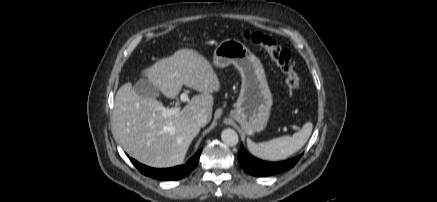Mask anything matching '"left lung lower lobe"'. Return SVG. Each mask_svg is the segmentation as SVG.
<instances>
[{"label": "left lung lower lobe", "mask_w": 437, "mask_h": 202, "mask_svg": "<svg viewBox=\"0 0 437 202\" xmlns=\"http://www.w3.org/2000/svg\"><path fill=\"white\" fill-rule=\"evenodd\" d=\"M302 154L292 159L281 162H266L250 155L243 144L238 152L241 167L249 174L258 177L273 175L291 169L301 158Z\"/></svg>", "instance_id": "1"}]
</instances>
